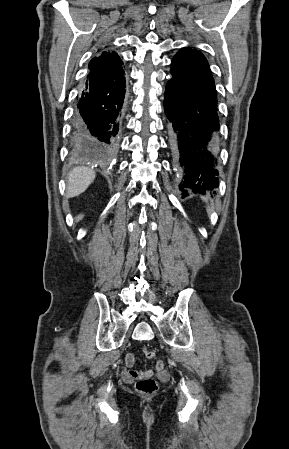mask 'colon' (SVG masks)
Masks as SVG:
<instances>
[{
    "label": "colon",
    "mask_w": 289,
    "mask_h": 449,
    "mask_svg": "<svg viewBox=\"0 0 289 449\" xmlns=\"http://www.w3.org/2000/svg\"><path fill=\"white\" fill-rule=\"evenodd\" d=\"M144 354L149 359L155 356V352L149 349H145ZM135 388L139 393L150 395L156 392L158 385L156 380L151 376H140L137 378Z\"/></svg>",
    "instance_id": "obj_1"
}]
</instances>
